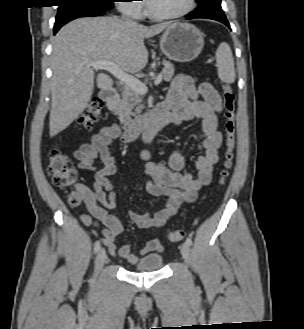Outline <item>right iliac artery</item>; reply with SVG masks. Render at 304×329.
Segmentation results:
<instances>
[{"label": "right iliac artery", "instance_id": "right-iliac-artery-1", "mask_svg": "<svg viewBox=\"0 0 304 329\" xmlns=\"http://www.w3.org/2000/svg\"><path fill=\"white\" fill-rule=\"evenodd\" d=\"M101 244L100 241H97L94 246V252L97 253L100 250Z\"/></svg>", "mask_w": 304, "mask_h": 329}]
</instances>
